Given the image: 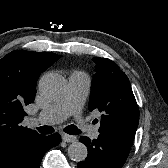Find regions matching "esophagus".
<instances>
[{
    "label": "esophagus",
    "instance_id": "obj_1",
    "mask_svg": "<svg viewBox=\"0 0 168 168\" xmlns=\"http://www.w3.org/2000/svg\"><path fill=\"white\" fill-rule=\"evenodd\" d=\"M62 139L65 142H75L77 140V137L73 135L63 134Z\"/></svg>",
    "mask_w": 168,
    "mask_h": 168
}]
</instances>
